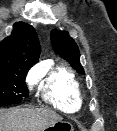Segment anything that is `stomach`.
I'll use <instances>...</instances> for the list:
<instances>
[{
    "label": "stomach",
    "mask_w": 117,
    "mask_h": 131,
    "mask_svg": "<svg viewBox=\"0 0 117 131\" xmlns=\"http://www.w3.org/2000/svg\"><path fill=\"white\" fill-rule=\"evenodd\" d=\"M44 130L46 131H74V127L70 122L60 120L49 125Z\"/></svg>",
    "instance_id": "stomach-1"
}]
</instances>
